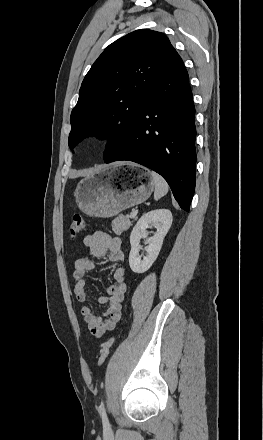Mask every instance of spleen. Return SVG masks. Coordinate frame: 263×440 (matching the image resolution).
I'll list each match as a JSON object with an SVG mask.
<instances>
[{
    "label": "spleen",
    "mask_w": 263,
    "mask_h": 440,
    "mask_svg": "<svg viewBox=\"0 0 263 440\" xmlns=\"http://www.w3.org/2000/svg\"><path fill=\"white\" fill-rule=\"evenodd\" d=\"M151 176L153 178L154 185H155L154 199L158 200L168 193L169 187H168V184L165 181V179L161 175H159L158 173L152 171Z\"/></svg>",
    "instance_id": "3e777b00"
}]
</instances>
